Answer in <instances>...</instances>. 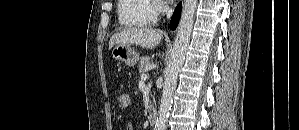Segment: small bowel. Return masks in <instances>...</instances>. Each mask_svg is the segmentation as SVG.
<instances>
[{"mask_svg":"<svg viewBox=\"0 0 299 130\" xmlns=\"http://www.w3.org/2000/svg\"><path fill=\"white\" fill-rule=\"evenodd\" d=\"M126 130H134L133 124L132 123H128L126 125Z\"/></svg>","mask_w":299,"mask_h":130,"instance_id":"1","label":"small bowel"}]
</instances>
